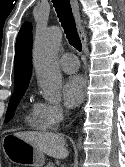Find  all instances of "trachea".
Segmentation results:
<instances>
[{"label":"trachea","mask_w":125,"mask_h":167,"mask_svg":"<svg viewBox=\"0 0 125 167\" xmlns=\"http://www.w3.org/2000/svg\"><path fill=\"white\" fill-rule=\"evenodd\" d=\"M59 21L64 29L67 39L73 47L81 51L82 45L77 32L69 0H52Z\"/></svg>","instance_id":"3493384b"}]
</instances>
